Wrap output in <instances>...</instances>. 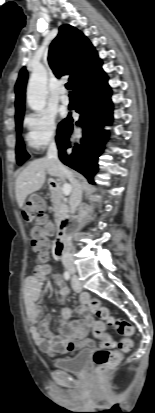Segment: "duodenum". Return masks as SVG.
Listing matches in <instances>:
<instances>
[{"label": "duodenum", "instance_id": "obj_1", "mask_svg": "<svg viewBox=\"0 0 155 413\" xmlns=\"http://www.w3.org/2000/svg\"><path fill=\"white\" fill-rule=\"evenodd\" d=\"M69 230V224L67 220L61 221L56 233V241L54 245L55 254L58 258H63L66 253V236Z\"/></svg>", "mask_w": 155, "mask_h": 413}]
</instances>
